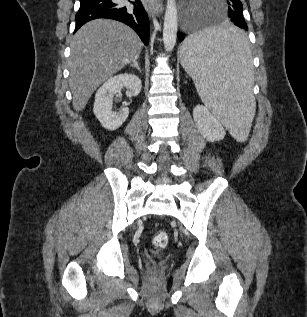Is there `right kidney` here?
Here are the masks:
<instances>
[{
  "label": "right kidney",
  "mask_w": 307,
  "mask_h": 317,
  "mask_svg": "<svg viewBox=\"0 0 307 317\" xmlns=\"http://www.w3.org/2000/svg\"><path fill=\"white\" fill-rule=\"evenodd\" d=\"M123 88H126L133 96H137L142 88L140 78L127 73L116 75L109 78L95 95L94 114L107 130L118 129L129 115L128 107H122L119 112H114L112 109L114 95Z\"/></svg>",
  "instance_id": "right-kidney-1"
}]
</instances>
